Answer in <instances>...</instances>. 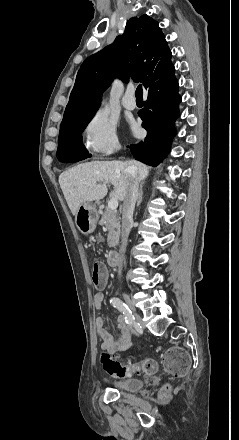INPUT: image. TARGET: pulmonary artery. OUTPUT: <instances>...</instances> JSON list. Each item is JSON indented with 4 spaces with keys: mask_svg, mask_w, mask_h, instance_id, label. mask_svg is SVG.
Segmentation results:
<instances>
[{
    "mask_svg": "<svg viewBox=\"0 0 239 440\" xmlns=\"http://www.w3.org/2000/svg\"><path fill=\"white\" fill-rule=\"evenodd\" d=\"M135 94V88L130 85L125 94L123 95V97L121 98V105L127 109V110H134L136 108V104L134 102H130L128 101V97L130 96H134Z\"/></svg>",
    "mask_w": 239,
    "mask_h": 440,
    "instance_id": "1",
    "label": "pulmonary artery"
}]
</instances>
